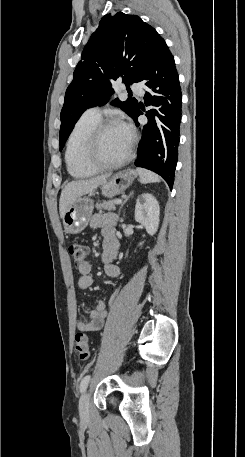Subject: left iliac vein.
I'll use <instances>...</instances> for the list:
<instances>
[{
    "label": "left iliac vein",
    "mask_w": 245,
    "mask_h": 457,
    "mask_svg": "<svg viewBox=\"0 0 245 457\" xmlns=\"http://www.w3.org/2000/svg\"><path fill=\"white\" fill-rule=\"evenodd\" d=\"M79 413L82 419L89 418V394L85 393L82 395L79 401Z\"/></svg>",
    "instance_id": "left-iliac-vein-1"
}]
</instances>
